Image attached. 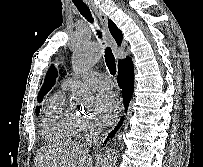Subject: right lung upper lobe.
<instances>
[{"label":"right lung upper lobe","mask_w":203,"mask_h":167,"mask_svg":"<svg viewBox=\"0 0 203 167\" xmlns=\"http://www.w3.org/2000/svg\"><path fill=\"white\" fill-rule=\"evenodd\" d=\"M108 27H109L110 33L114 37L115 41L120 46L121 42H122V32L117 28V26L111 20H108ZM128 60H131V58L126 57L123 60H119L118 66H120L121 63L128 61ZM56 77H57V71L56 70H52V72H50L47 75L45 85H44L43 89L41 90V93H39V95H38V101L39 102L42 101V98L45 95V93H47L51 89L52 85L55 82Z\"/></svg>","instance_id":"right-lung-upper-lobe-1"}]
</instances>
